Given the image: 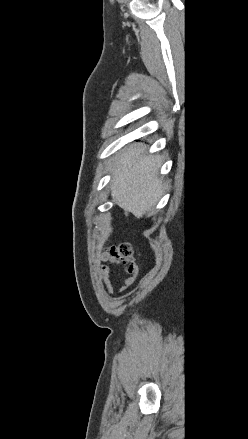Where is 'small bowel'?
<instances>
[{
	"label": "small bowel",
	"instance_id": "1",
	"mask_svg": "<svg viewBox=\"0 0 248 439\" xmlns=\"http://www.w3.org/2000/svg\"><path fill=\"white\" fill-rule=\"evenodd\" d=\"M99 260L105 263H110L115 266V273L121 287L119 292L130 287L137 275V265L135 262L129 261L116 247L105 249L99 254ZM99 274L101 276L102 284L108 294H113L114 289L110 280V268L108 265H101L99 267Z\"/></svg>",
	"mask_w": 248,
	"mask_h": 439
}]
</instances>
